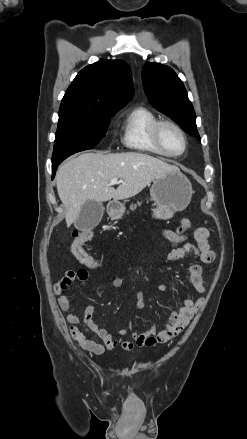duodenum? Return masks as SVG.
<instances>
[{
	"label": "duodenum",
	"mask_w": 247,
	"mask_h": 439,
	"mask_svg": "<svg viewBox=\"0 0 247 439\" xmlns=\"http://www.w3.org/2000/svg\"><path fill=\"white\" fill-rule=\"evenodd\" d=\"M111 209H112V210H114V209H115V207H113V206H112V207H111Z\"/></svg>",
	"instance_id": "obj_1"
}]
</instances>
